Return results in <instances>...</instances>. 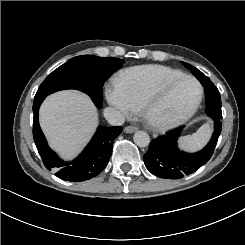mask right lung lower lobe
I'll return each instance as SVG.
<instances>
[{
	"mask_svg": "<svg viewBox=\"0 0 245 245\" xmlns=\"http://www.w3.org/2000/svg\"><path fill=\"white\" fill-rule=\"evenodd\" d=\"M45 97L34 98L33 137L48 170H53L60 179L79 182L97 176L108 164L114 139L122 127H99L82 154L72 162L61 160L48 146L38 122V110Z\"/></svg>",
	"mask_w": 245,
	"mask_h": 245,
	"instance_id": "right-lung-lower-lobe-1",
	"label": "right lung lower lobe"
}]
</instances>
